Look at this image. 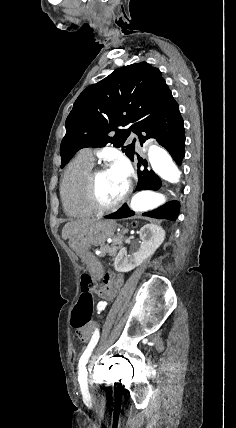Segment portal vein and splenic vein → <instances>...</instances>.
Wrapping results in <instances>:
<instances>
[{"instance_id":"portal-vein-and-splenic-vein-1","label":"portal vein and splenic vein","mask_w":236,"mask_h":428,"mask_svg":"<svg viewBox=\"0 0 236 428\" xmlns=\"http://www.w3.org/2000/svg\"><path fill=\"white\" fill-rule=\"evenodd\" d=\"M108 242H112V240H108Z\"/></svg>"}]
</instances>
